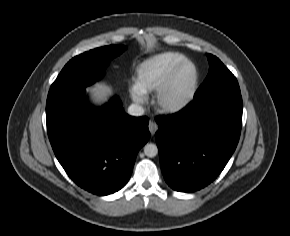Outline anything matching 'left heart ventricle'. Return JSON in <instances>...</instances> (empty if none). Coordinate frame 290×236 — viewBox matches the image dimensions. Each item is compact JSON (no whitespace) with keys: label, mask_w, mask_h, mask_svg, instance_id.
Returning a JSON list of instances; mask_svg holds the SVG:
<instances>
[{"label":"left heart ventricle","mask_w":290,"mask_h":236,"mask_svg":"<svg viewBox=\"0 0 290 236\" xmlns=\"http://www.w3.org/2000/svg\"><path fill=\"white\" fill-rule=\"evenodd\" d=\"M193 80V68L191 66L185 67L175 80L173 87L171 88L167 99L169 101H175L184 96Z\"/></svg>","instance_id":"b2bd125f"}]
</instances>
